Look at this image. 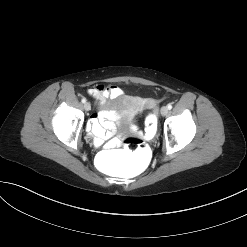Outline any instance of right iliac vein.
I'll use <instances>...</instances> for the list:
<instances>
[{"label":"right iliac vein","instance_id":"right-iliac-vein-1","mask_svg":"<svg viewBox=\"0 0 247 247\" xmlns=\"http://www.w3.org/2000/svg\"><path fill=\"white\" fill-rule=\"evenodd\" d=\"M84 109H85L86 111H89V110L91 109V105H90L89 102H86V103L84 104Z\"/></svg>","mask_w":247,"mask_h":247}]
</instances>
